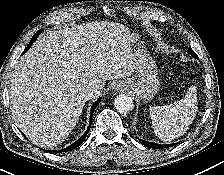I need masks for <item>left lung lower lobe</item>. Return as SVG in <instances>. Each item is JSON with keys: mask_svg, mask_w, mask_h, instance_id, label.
Here are the masks:
<instances>
[{"mask_svg": "<svg viewBox=\"0 0 224 175\" xmlns=\"http://www.w3.org/2000/svg\"><path fill=\"white\" fill-rule=\"evenodd\" d=\"M138 140L144 146L149 147V148H155V149H162V148L172 147V146L177 144V143H175V144H164V145H161V144H157V143H153V142H147V141H144V140H141V139H138Z\"/></svg>", "mask_w": 224, "mask_h": 175, "instance_id": "obj_1", "label": "left lung lower lobe"}]
</instances>
